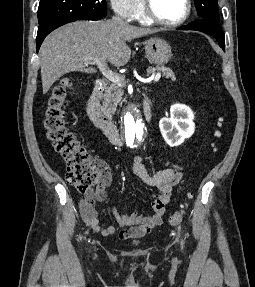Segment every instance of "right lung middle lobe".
<instances>
[{"instance_id": "obj_1", "label": "right lung middle lobe", "mask_w": 255, "mask_h": 287, "mask_svg": "<svg viewBox=\"0 0 255 287\" xmlns=\"http://www.w3.org/2000/svg\"><path fill=\"white\" fill-rule=\"evenodd\" d=\"M107 14L106 0H40L39 27L62 20H100Z\"/></svg>"}]
</instances>
